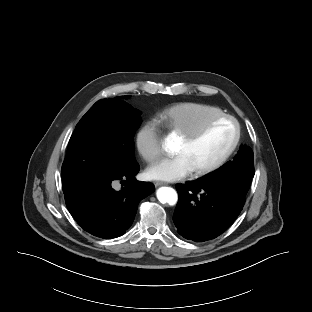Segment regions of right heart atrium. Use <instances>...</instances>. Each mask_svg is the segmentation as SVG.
Returning a JSON list of instances; mask_svg holds the SVG:
<instances>
[{
  "mask_svg": "<svg viewBox=\"0 0 312 312\" xmlns=\"http://www.w3.org/2000/svg\"><path fill=\"white\" fill-rule=\"evenodd\" d=\"M136 144L141 156L149 163L162 155L161 126L156 118L146 120L140 127Z\"/></svg>",
  "mask_w": 312,
  "mask_h": 312,
  "instance_id": "right-heart-atrium-1",
  "label": "right heart atrium"
}]
</instances>
